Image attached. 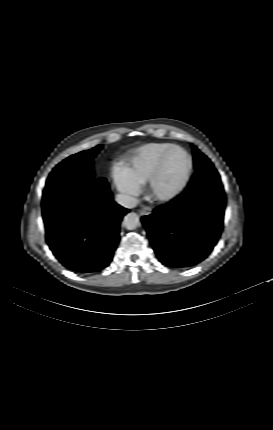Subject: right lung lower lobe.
<instances>
[{
    "mask_svg": "<svg viewBox=\"0 0 273 430\" xmlns=\"http://www.w3.org/2000/svg\"><path fill=\"white\" fill-rule=\"evenodd\" d=\"M87 194L80 195L79 189ZM47 243L56 258L79 273L97 272L112 261L120 222L128 209L116 204L105 178L68 187L42 200Z\"/></svg>",
    "mask_w": 273,
    "mask_h": 430,
    "instance_id": "obj_1",
    "label": "right lung lower lobe"
}]
</instances>
